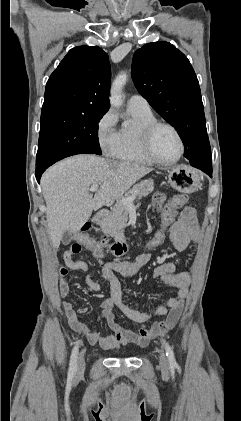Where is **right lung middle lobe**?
<instances>
[{"instance_id": "obj_1", "label": "right lung middle lobe", "mask_w": 241, "mask_h": 421, "mask_svg": "<svg viewBox=\"0 0 241 421\" xmlns=\"http://www.w3.org/2000/svg\"><path fill=\"white\" fill-rule=\"evenodd\" d=\"M103 115L62 110L42 112L36 166L54 164L76 154L101 155L98 123Z\"/></svg>"}]
</instances>
